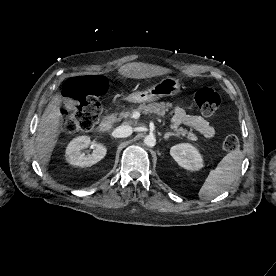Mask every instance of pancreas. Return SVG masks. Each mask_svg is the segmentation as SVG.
<instances>
[{"mask_svg": "<svg viewBox=\"0 0 276 276\" xmlns=\"http://www.w3.org/2000/svg\"><path fill=\"white\" fill-rule=\"evenodd\" d=\"M169 103H149L148 105L141 104L137 108H130L122 111L116 121H120L122 118L129 119L127 124H137V120L133 119L134 112H143V113H154L159 116H164L165 113L169 110ZM170 127L176 132V134L186 136L188 140L195 141L197 136L192 132L179 127L178 125L171 124Z\"/></svg>", "mask_w": 276, "mask_h": 276, "instance_id": "cf45deb5", "label": "pancreas"}]
</instances>
